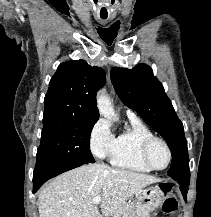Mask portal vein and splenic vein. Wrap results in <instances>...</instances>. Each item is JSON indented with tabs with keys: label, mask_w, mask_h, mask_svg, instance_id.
Returning <instances> with one entry per match:
<instances>
[{
	"label": "portal vein and splenic vein",
	"mask_w": 211,
	"mask_h": 217,
	"mask_svg": "<svg viewBox=\"0 0 211 217\" xmlns=\"http://www.w3.org/2000/svg\"><path fill=\"white\" fill-rule=\"evenodd\" d=\"M101 199L102 198L100 196H97V197L93 198L92 202H93V204H98L101 202Z\"/></svg>",
	"instance_id": "obj_1"
}]
</instances>
